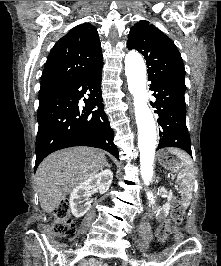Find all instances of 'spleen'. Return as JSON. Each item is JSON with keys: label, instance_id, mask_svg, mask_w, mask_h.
Segmentation results:
<instances>
[{"label": "spleen", "instance_id": "3e777b00", "mask_svg": "<svg viewBox=\"0 0 221 266\" xmlns=\"http://www.w3.org/2000/svg\"><path fill=\"white\" fill-rule=\"evenodd\" d=\"M169 151L175 154L178 159L185 166V170L181 176L178 178V182L181 186V196L183 200L184 207H187L190 204L192 198V191L194 185V174L192 171L193 163L190 156L179 149L170 148Z\"/></svg>", "mask_w": 221, "mask_h": 266}]
</instances>
